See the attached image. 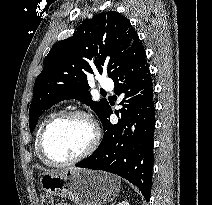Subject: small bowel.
<instances>
[{
  "mask_svg": "<svg viewBox=\"0 0 212 205\" xmlns=\"http://www.w3.org/2000/svg\"><path fill=\"white\" fill-rule=\"evenodd\" d=\"M58 205H69V204H66V203H60V204H58Z\"/></svg>",
  "mask_w": 212,
  "mask_h": 205,
  "instance_id": "1",
  "label": "small bowel"
}]
</instances>
